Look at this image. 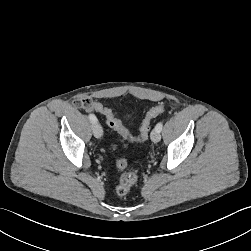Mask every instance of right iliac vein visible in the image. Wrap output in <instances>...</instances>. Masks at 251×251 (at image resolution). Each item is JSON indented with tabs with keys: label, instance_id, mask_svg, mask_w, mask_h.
Listing matches in <instances>:
<instances>
[{
	"label": "right iliac vein",
	"instance_id": "right-iliac-vein-1",
	"mask_svg": "<svg viewBox=\"0 0 251 251\" xmlns=\"http://www.w3.org/2000/svg\"><path fill=\"white\" fill-rule=\"evenodd\" d=\"M92 130H93V134L96 138H101L103 131H102V127L99 123H93L92 125Z\"/></svg>",
	"mask_w": 251,
	"mask_h": 251
}]
</instances>
